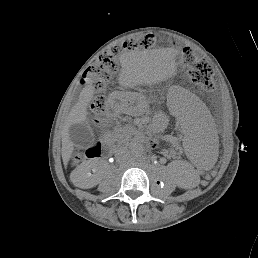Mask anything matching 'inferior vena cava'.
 <instances>
[{
  "label": "inferior vena cava",
  "mask_w": 258,
  "mask_h": 258,
  "mask_svg": "<svg viewBox=\"0 0 258 258\" xmlns=\"http://www.w3.org/2000/svg\"><path fill=\"white\" fill-rule=\"evenodd\" d=\"M126 152V150L125 149H119L118 150V158L119 159H121L122 157H123V155H124V153Z\"/></svg>",
  "instance_id": "602c4592"
}]
</instances>
